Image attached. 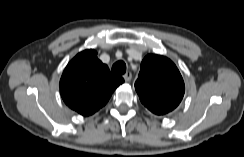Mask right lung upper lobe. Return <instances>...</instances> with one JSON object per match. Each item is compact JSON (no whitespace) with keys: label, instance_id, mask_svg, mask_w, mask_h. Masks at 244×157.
I'll use <instances>...</instances> for the list:
<instances>
[{"label":"right lung upper lobe","instance_id":"right-lung-upper-lobe-1","mask_svg":"<svg viewBox=\"0 0 244 157\" xmlns=\"http://www.w3.org/2000/svg\"><path fill=\"white\" fill-rule=\"evenodd\" d=\"M124 82L109 71L107 65L90 49L77 54L66 66L60 93L64 102L76 112L89 116L104 106L114 90Z\"/></svg>","mask_w":244,"mask_h":157}]
</instances>
